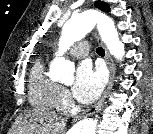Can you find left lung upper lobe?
Here are the masks:
<instances>
[{"label":"left lung upper lobe","mask_w":153,"mask_h":134,"mask_svg":"<svg viewBox=\"0 0 153 134\" xmlns=\"http://www.w3.org/2000/svg\"><path fill=\"white\" fill-rule=\"evenodd\" d=\"M95 6L101 10L109 11V5L103 1H96Z\"/></svg>","instance_id":"left-lung-upper-lobe-1"}]
</instances>
